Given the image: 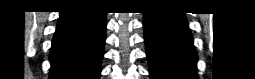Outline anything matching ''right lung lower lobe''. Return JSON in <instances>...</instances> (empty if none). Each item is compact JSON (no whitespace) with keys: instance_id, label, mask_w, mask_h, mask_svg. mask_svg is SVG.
Masks as SVG:
<instances>
[{"instance_id":"1","label":"right lung lower lobe","mask_w":255,"mask_h":79,"mask_svg":"<svg viewBox=\"0 0 255 79\" xmlns=\"http://www.w3.org/2000/svg\"><path fill=\"white\" fill-rule=\"evenodd\" d=\"M106 17L94 9L61 12L50 52L49 79H99Z\"/></svg>"}]
</instances>
